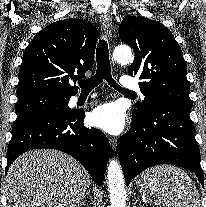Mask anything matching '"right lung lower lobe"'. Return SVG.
Instances as JSON below:
<instances>
[{
	"label": "right lung lower lobe",
	"mask_w": 206,
	"mask_h": 207,
	"mask_svg": "<svg viewBox=\"0 0 206 207\" xmlns=\"http://www.w3.org/2000/svg\"><path fill=\"white\" fill-rule=\"evenodd\" d=\"M84 111L56 116H40L12 127L8 146L6 172L22 153L32 149L50 148L63 151L77 159L101 185L110 157L107 137L96 128L84 126Z\"/></svg>",
	"instance_id": "right-lung-lower-lobe-1"
}]
</instances>
